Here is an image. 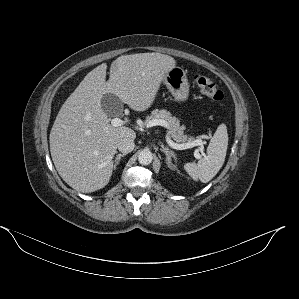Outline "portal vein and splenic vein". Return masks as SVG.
Listing matches in <instances>:
<instances>
[{"label": "portal vein and splenic vein", "instance_id": "obj_1", "mask_svg": "<svg viewBox=\"0 0 299 299\" xmlns=\"http://www.w3.org/2000/svg\"><path fill=\"white\" fill-rule=\"evenodd\" d=\"M125 123V121L121 120L120 118H113L111 120V125L114 127H118V126H122ZM163 126L165 128H169L168 123L162 119H155L153 121H151L148 126L152 127V126ZM166 141L168 143V145L170 147H172L173 149L176 150H184V149H188V148H193L195 146H199V149H196L194 152V156L196 159H200L201 155L199 153V151H202V147H203V142L201 140H195L193 142H188V143H183V144H177L175 142H173L170 138V133L167 132L166 134Z\"/></svg>", "mask_w": 299, "mask_h": 299}]
</instances>
